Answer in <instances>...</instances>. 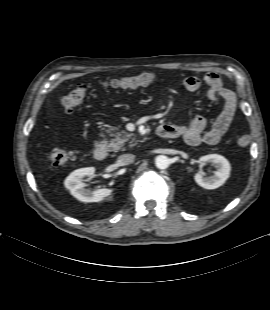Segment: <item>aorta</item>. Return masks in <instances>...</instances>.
<instances>
[{"instance_id": "762f6f07", "label": "aorta", "mask_w": 270, "mask_h": 310, "mask_svg": "<svg viewBox=\"0 0 270 310\" xmlns=\"http://www.w3.org/2000/svg\"><path fill=\"white\" fill-rule=\"evenodd\" d=\"M170 164L169 158L164 155H159L155 159V165L158 169H166Z\"/></svg>"}]
</instances>
